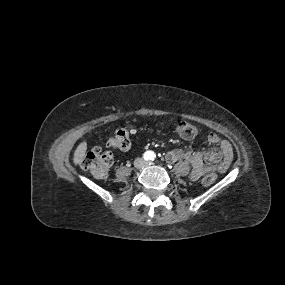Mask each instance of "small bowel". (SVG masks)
<instances>
[{
  "instance_id": "obj_1",
  "label": "small bowel",
  "mask_w": 285,
  "mask_h": 285,
  "mask_svg": "<svg viewBox=\"0 0 285 285\" xmlns=\"http://www.w3.org/2000/svg\"><path fill=\"white\" fill-rule=\"evenodd\" d=\"M207 140L210 144L217 145L219 149L208 152L173 149L168 151L166 159L171 163L180 160L190 163L192 166L191 176L194 179L211 169H217L219 172L227 171L233 158L231 144L228 140L213 133L208 135Z\"/></svg>"
}]
</instances>
